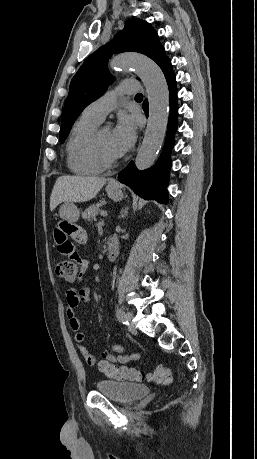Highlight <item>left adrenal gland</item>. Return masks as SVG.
Instances as JSON below:
<instances>
[{
    "instance_id": "obj_1",
    "label": "left adrenal gland",
    "mask_w": 257,
    "mask_h": 459,
    "mask_svg": "<svg viewBox=\"0 0 257 459\" xmlns=\"http://www.w3.org/2000/svg\"><path fill=\"white\" fill-rule=\"evenodd\" d=\"M128 215V208L122 209L121 210V217L125 218Z\"/></svg>"
}]
</instances>
